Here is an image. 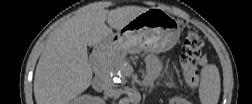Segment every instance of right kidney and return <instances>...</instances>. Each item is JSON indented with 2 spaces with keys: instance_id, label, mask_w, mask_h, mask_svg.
I'll use <instances>...</instances> for the list:
<instances>
[{
  "instance_id": "right-kidney-1",
  "label": "right kidney",
  "mask_w": 252,
  "mask_h": 104,
  "mask_svg": "<svg viewBox=\"0 0 252 104\" xmlns=\"http://www.w3.org/2000/svg\"><path fill=\"white\" fill-rule=\"evenodd\" d=\"M100 98L98 97H92L90 95H82L77 98H75L72 103L73 104H93L100 102Z\"/></svg>"
}]
</instances>
